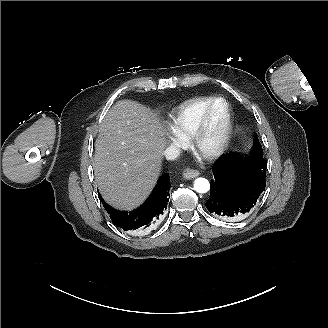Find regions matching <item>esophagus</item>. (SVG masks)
<instances>
[{
  "label": "esophagus",
  "mask_w": 328,
  "mask_h": 328,
  "mask_svg": "<svg viewBox=\"0 0 328 328\" xmlns=\"http://www.w3.org/2000/svg\"><path fill=\"white\" fill-rule=\"evenodd\" d=\"M199 171L198 170H195V169H192V168H186L184 169L183 173H182V176L184 179L186 180H190V179H193L195 177H197L199 175Z\"/></svg>",
  "instance_id": "1"
}]
</instances>
